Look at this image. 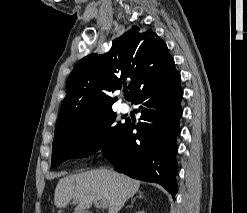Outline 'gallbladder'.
<instances>
[{
	"mask_svg": "<svg viewBox=\"0 0 247 213\" xmlns=\"http://www.w3.org/2000/svg\"><path fill=\"white\" fill-rule=\"evenodd\" d=\"M76 213H89V212H87V211H85V210H79V211H77Z\"/></svg>",
	"mask_w": 247,
	"mask_h": 213,
	"instance_id": "obj_1",
	"label": "gallbladder"
}]
</instances>
